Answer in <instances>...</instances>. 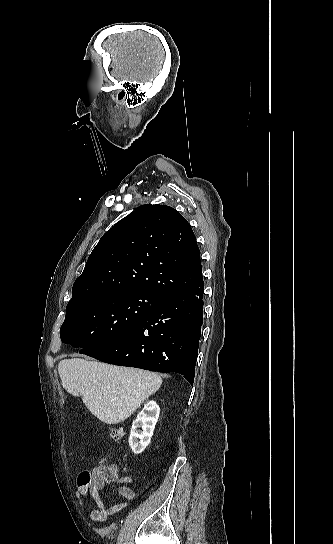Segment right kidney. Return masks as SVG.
<instances>
[{
	"label": "right kidney",
	"mask_w": 333,
	"mask_h": 544,
	"mask_svg": "<svg viewBox=\"0 0 333 544\" xmlns=\"http://www.w3.org/2000/svg\"><path fill=\"white\" fill-rule=\"evenodd\" d=\"M159 414L160 408L153 400L144 404V408L138 413L137 418L132 423L129 437V445L134 454L142 453L149 445ZM140 427L142 431L138 430Z\"/></svg>",
	"instance_id": "right-kidney-1"
}]
</instances>
